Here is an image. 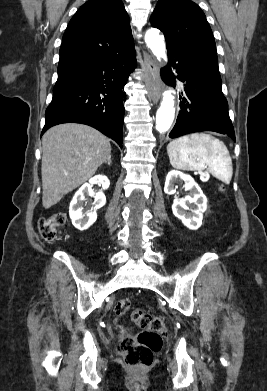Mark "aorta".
Returning a JSON list of instances; mask_svg holds the SVG:
<instances>
[{
  "label": "aorta",
  "instance_id": "aorta-1",
  "mask_svg": "<svg viewBox=\"0 0 267 391\" xmlns=\"http://www.w3.org/2000/svg\"><path fill=\"white\" fill-rule=\"evenodd\" d=\"M145 42L158 60L166 58V47L164 37L159 34L157 29H149L145 33ZM173 90H166L163 93V99L156 113V130L159 133H165L171 127L175 116V98L172 95Z\"/></svg>",
  "mask_w": 267,
  "mask_h": 391
}]
</instances>
